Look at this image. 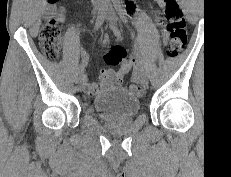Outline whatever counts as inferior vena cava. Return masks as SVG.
Listing matches in <instances>:
<instances>
[{
    "mask_svg": "<svg viewBox=\"0 0 231 177\" xmlns=\"http://www.w3.org/2000/svg\"><path fill=\"white\" fill-rule=\"evenodd\" d=\"M99 1H101V0H92V2H99Z\"/></svg>",
    "mask_w": 231,
    "mask_h": 177,
    "instance_id": "602c4592",
    "label": "inferior vena cava"
}]
</instances>
